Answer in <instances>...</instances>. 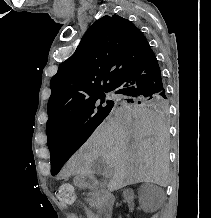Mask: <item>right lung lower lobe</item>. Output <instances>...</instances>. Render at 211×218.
Returning a JSON list of instances; mask_svg holds the SVG:
<instances>
[{"instance_id":"right-lung-lower-lobe-1","label":"right lung lower lobe","mask_w":211,"mask_h":218,"mask_svg":"<svg viewBox=\"0 0 211 218\" xmlns=\"http://www.w3.org/2000/svg\"><path fill=\"white\" fill-rule=\"evenodd\" d=\"M112 90L122 97H166L158 61L153 51L148 52L118 80Z\"/></svg>"}]
</instances>
